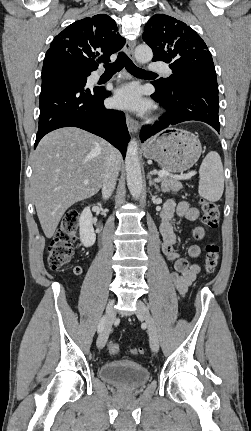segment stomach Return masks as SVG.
Wrapping results in <instances>:
<instances>
[{
  "label": "stomach",
  "instance_id": "stomach-1",
  "mask_svg": "<svg viewBox=\"0 0 251 431\" xmlns=\"http://www.w3.org/2000/svg\"><path fill=\"white\" fill-rule=\"evenodd\" d=\"M202 147L192 133L169 128L149 140L143 149L146 158L155 160L166 171L180 173L199 159Z\"/></svg>",
  "mask_w": 251,
  "mask_h": 431
}]
</instances>
